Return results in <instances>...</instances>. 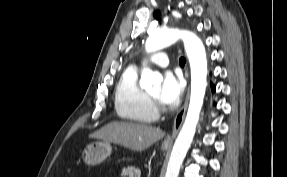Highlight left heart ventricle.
<instances>
[{
	"instance_id": "obj_1",
	"label": "left heart ventricle",
	"mask_w": 287,
	"mask_h": 177,
	"mask_svg": "<svg viewBox=\"0 0 287 177\" xmlns=\"http://www.w3.org/2000/svg\"><path fill=\"white\" fill-rule=\"evenodd\" d=\"M149 94L159 99L160 87H156L155 89H152L149 92Z\"/></svg>"
}]
</instances>
